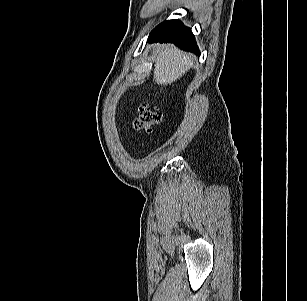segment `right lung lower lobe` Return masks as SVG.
Instances as JSON below:
<instances>
[{"instance_id": "right-lung-lower-lobe-1", "label": "right lung lower lobe", "mask_w": 307, "mask_h": 301, "mask_svg": "<svg viewBox=\"0 0 307 301\" xmlns=\"http://www.w3.org/2000/svg\"><path fill=\"white\" fill-rule=\"evenodd\" d=\"M149 42H173L183 50L200 54L191 29L185 27L179 20H168L159 24L151 31Z\"/></svg>"}]
</instances>
